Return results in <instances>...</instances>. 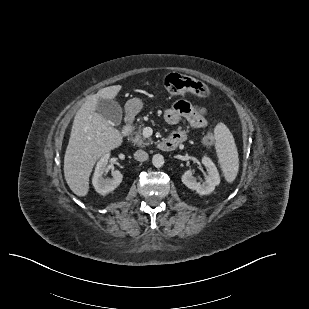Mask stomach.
Returning a JSON list of instances; mask_svg holds the SVG:
<instances>
[{
	"instance_id": "obj_1",
	"label": "stomach",
	"mask_w": 309,
	"mask_h": 309,
	"mask_svg": "<svg viewBox=\"0 0 309 309\" xmlns=\"http://www.w3.org/2000/svg\"><path fill=\"white\" fill-rule=\"evenodd\" d=\"M143 102L139 98H132L125 104V111L129 118L136 116L142 109Z\"/></svg>"
}]
</instances>
